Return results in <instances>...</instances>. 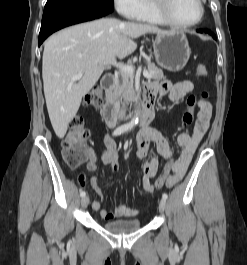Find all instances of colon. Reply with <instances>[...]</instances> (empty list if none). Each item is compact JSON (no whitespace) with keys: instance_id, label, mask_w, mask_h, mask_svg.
<instances>
[{"instance_id":"obj_1","label":"colon","mask_w":247,"mask_h":265,"mask_svg":"<svg viewBox=\"0 0 247 265\" xmlns=\"http://www.w3.org/2000/svg\"><path fill=\"white\" fill-rule=\"evenodd\" d=\"M197 76L204 78L208 72L205 66L198 65L196 70ZM208 93L203 92L200 99L206 100ZM103 101V93L101 87H94L84 98V104L91 108H99ZM197 98L188 102V107L182 116V125H190L194 118V110ZM89 138V131L84 125L81 116H75L69 123V129L62 141V155L65 163L72 169L80 166L87 158L86 142ZM176 158L174 156L166 160L165 166L154 182V188L160 189L167 183L172 176Z\"/></svg>"}]
</instances>
